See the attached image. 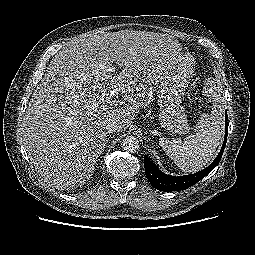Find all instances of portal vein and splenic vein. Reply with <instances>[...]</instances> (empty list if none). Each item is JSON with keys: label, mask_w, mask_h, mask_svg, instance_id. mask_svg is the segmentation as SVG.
<instances>
[{"label": "portal vein and splenic vein", "mask_w": 255, "mask_h": 255, "mask_svg": "<svg viewBox=\"0 0 255 255\" xmlns=\"http://www.w3.org/2000/svg\"><path fill=\"white\" fill-rule=\"evenodd\" d=\"M106 70L109 72H114V68L107 67ZM117 94H118L117 89H112L109 93V98H112V97L116 96Z\"/></svg>", "instance_id": "1"}]
</instances>
